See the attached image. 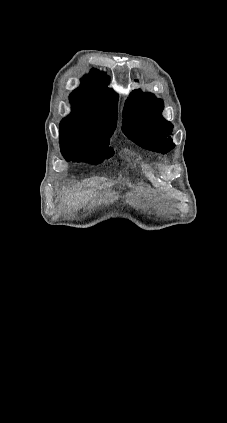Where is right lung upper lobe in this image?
<instances>
[{
    "label": "right lung upper lobe",
    "mask_w": 227,
    "mask_h": 423,
    "mask_svg": "<svg viewBox=\"0 0 227 423\" xmlns=\"http://www.w3.org/2000/svg\"><path fill=\"white\" fill-rule=\"evenodd\" d=\"M87 86L70 95L72 114L60 124V141H93L110 138L117 123L118 95L107 88L109 77L91 70Z\"/></svg>",
    "instance_id": "right-lung-upper-lobe-1"
}]
</instances>
